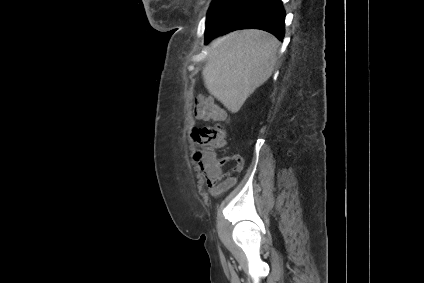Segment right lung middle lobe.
<instances>
[{
  "label": "right lung middle lobe",
  "mask_w": 424,
  "mask_h": 283,
  "mask_svg": "<svg viewBox=\"0 0 424 283\" xmlns=\"http://www.w3.org/2000/svg\"><path fill=\"white\" fill-rule=\"evenodd\" d=\"M228 0H214L208 11L207 21L208 24L226 5Z\"/></svg>",
  "instance_id": "1"
}]
</instances>
